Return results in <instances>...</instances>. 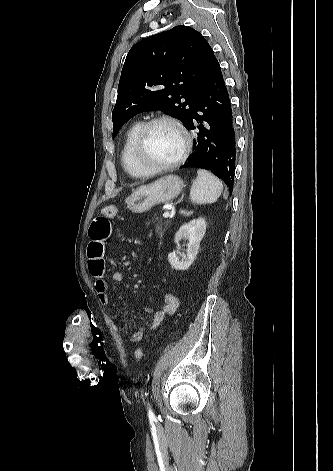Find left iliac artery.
Masks as SVG:
<instances>
[{
    "mask_svg": "<svg viewBox=\"0 0 333 471\" xmlns=\"http://www.w3.org/2000/svg\"><path fill=\"white\" fill-rule=\"evenodd\" d=\"M148 415L151 417L153 416V412H152V409L150 407V405L148 404Z\"/></svg>",
    "mask_w": 333,
    "mask_h": 471,
    "instance_id": "44dca946",
    "label": "left iliac artery"
}]
</instances>
